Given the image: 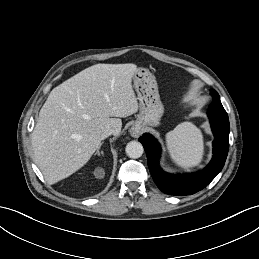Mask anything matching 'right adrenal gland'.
<instances>
[{"instance_id":"1","label":"right adrenal gland","mask_w":259,"mask_h":259,"mask_svg":"<svg viewBox=\"0 0 259 259\" xmlns=\"http://www.w3.org/2000/svg\"><path fill=\"white\" fill-rule=\"evenodd\" d=\"M103 144V142L100 144L99 148L97 149L95 155H103V152H100V148H101V145Z\"/></svg>"}]
</instances>
